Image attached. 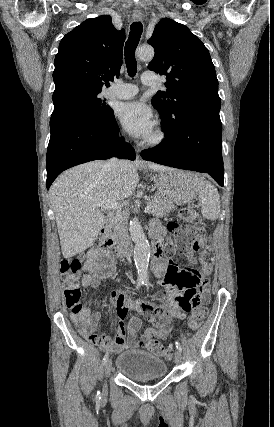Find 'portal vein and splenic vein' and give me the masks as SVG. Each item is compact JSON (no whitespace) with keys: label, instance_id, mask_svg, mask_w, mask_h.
I'll return each instance as SVG.
<instances>
[{"label":"portal vein and splenic vein","instance_id":"obj_1","mask_svg":"<svg viewBox=\"0 0 274 427\" xmlns=\"http://www.w3.org/2000/svg\"><path fill=\"white\" fill-rule=\"evenodd\" d=\"M100 206L102 210H115V212H121L118 202H110V200H105V202H101ZM149 210L150 206H147V208L144 210V214H147Z\"/></svg>","mask_w":274,"mask_h":427}]
</instances>
